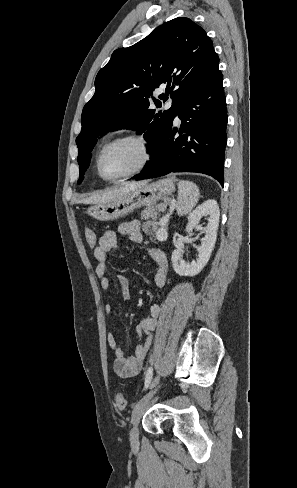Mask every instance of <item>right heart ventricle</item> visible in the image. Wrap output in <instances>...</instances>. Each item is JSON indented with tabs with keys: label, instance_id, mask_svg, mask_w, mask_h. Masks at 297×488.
I'll return each instance as SVG.
<instances>
[{
	"label": "right heart ventricle",
	"instance_id": "1",
	"mask_svg": "<svg viewBox=\"0 0 297 488\" xmlns=\"http://www.w3.org/2000/svg\"><path fill=\"white\" fill-rule=\"evenodd\" d=\"M104 145H105V144H104ZM104 145H103V146H104ZM103 146H102V147H103ZM102 147L100 148V150L102 149ZM100 150H99V152H100ZM99 152H98V155H99ZM97 157H98V156H97Z\"/></svg>",
	"mask_w": 297,
	"mask_h": 488
}]
</instances>
